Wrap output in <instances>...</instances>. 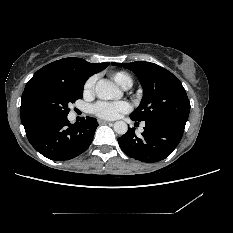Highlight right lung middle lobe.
<instances>
[{
  "label": "right lung middle lobe",
  "mask_w": 233,
  "mask_h": 233,
  "mask_svg": "<svg viewBox=\"0 0 233 233\" xmlns=\"http://www.w3.org/2000/svg\"><path fill=\"white\" fill-rule=\"evenodd\" d=\"M83 86L55 83L38 88L30 104L35 117L40 122L67 117L70 110L68 105L83 97Z\"/></svg>",
  "instance_id": "1"
}]
</instances>
